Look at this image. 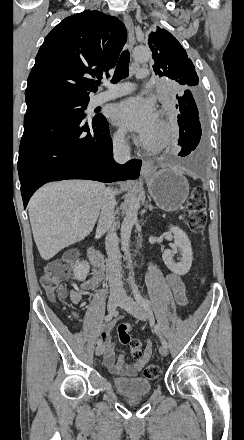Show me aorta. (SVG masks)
Listing matches in <instances>:
<instances>
[{
  "label": "aorta",
  "instance_id": "obj_1",
  "mask_svg": "<svg viewBox=\"0 0 244 440\" xmlns=\"http://www.w3.org/2000/svg\"><path fill=\"white\" fill-rule=\"evenodd\" d=\"M150 57H151V51L149 50V48L139 46L136 47L133 51V58L136 61L144 62L149 60ZM139 208H140V201L137 195L133 194L129 199L125 217L121 225V233H120L122 250L125 253L126 259L128 260L129 269L132 272V275L130 272L131 282H134V278H133V270L131 265V253L129 249V242H130L133 225L137 220Z\"/></svg>",
  "mask_w": 244,
  "mask_h": 440
}]
</instances>
